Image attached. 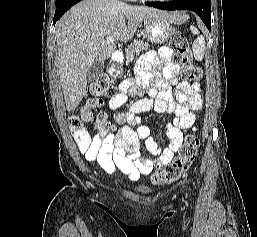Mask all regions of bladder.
<instances>
[{"instance_id": "1", "label": "bladder", "mask_w": 257, "mask_h": 237, "mask_svg": "<svg viewBox=\"0 0 257 237\" xmlns=\"http://www.w3.org/2000/svg\"><path fill=\"white\" fill-rule=\"evenodd\" d=\"M137 191L140 193V194H143V195H149L151 194L152 190L146 186V185H141V186H138L137 187Z\"/></svg>"}]
</instances>
